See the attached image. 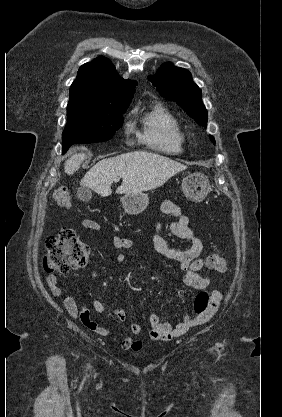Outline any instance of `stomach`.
<instances>
[{
	"instance_id": "0dacf381",
	"label": "stomach",
	"mask_w": 282,
	"mask_h": 417,
	"mask_svg": "<svg viewBox=\"0 0 282 417\" xmlns=\"http://www.w3.org/2000/svg\"><path fill=\"white\" fill-rule=\"evenodd\" d=\"M210 182L206 174L203 172H193V174H187L184 176L181 182V188L190 200L194 202H199L207 196L210 192ZM123 209H125L128 215H139L147 209L149 196L145 192H138V194H124L121 198Z\"/></svg>"
}]
</instances>
